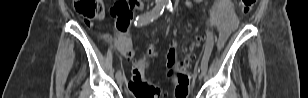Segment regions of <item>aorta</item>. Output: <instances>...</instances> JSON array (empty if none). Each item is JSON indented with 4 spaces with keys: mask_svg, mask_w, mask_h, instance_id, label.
<instances>
[{
    "mask_svg": "<svg viewBox=\"0 0 308 98\" xmlns=\"http://www.w3.org/2000/svg\"><path fill=\"white\" fill-rule=\"evenodd\" d=\"M163 3L171 4V0H163Z\"/></svg>",
    "mask_w": 308,
    "mask_h": 98,
    "instance_id": "aorta-1",
    "label": "aorta"
}]
</instances>
